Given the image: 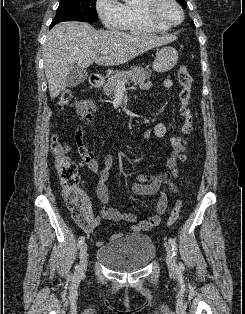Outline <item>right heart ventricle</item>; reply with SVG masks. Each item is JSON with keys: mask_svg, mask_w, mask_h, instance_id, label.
Wrapping results in <instances>:
<instances>
[{"mask_svg": "<svg viewBox=\"0 0 245 314\" xmlns=\"http://www.w3.org/2000/svg\"><path fill=\"white\" fill-rule=\"evenodd\" d=\"M145 0H134L121 4L120 30L131 33H162L169 28L157 25L146 19L141 11Z\"/></svg>", "mask_w": 245, "mask_h": 314, "instance_id": "e07e8e85", "label": "right heart ventricle"}]
</instances>
